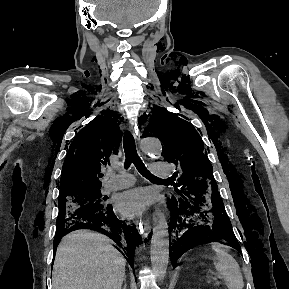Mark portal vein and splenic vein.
<instances>
[{
	"instance_id": "1",
	"label": "portal vein and splenic vein",
	"mask_w": 289,
	"mask_h": 289,
	"mask_svg": "<svg viewBox=\"0 0 289 289\" xmlns=\"http://www.w3.org/2000/svg\"><path fill=\"white\" fill-rule=\"evenodd\" d=\"M211 281L218 282V278L217 277H209L208 282H211Z\"/></svg>"
}]
</instances>
